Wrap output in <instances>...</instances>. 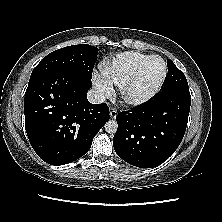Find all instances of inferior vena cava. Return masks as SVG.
I'll return each mask as SVG.
<instances>
[{
  "mask_svg": "<svg viewBox=\"0 0 222 222\" xmlns=\"http://www.w3.org/2000/svg\"><path fill=\"white\" fill-rule=\"evenodd\" d=\"M87 99L92 104H101L105 101V96L97 90H89L87 93Z\"/></svg>",
  "mask_w": 222,
  "mask_h": 222,
  "instance_id": "602c4592",
  "label": "inferior vena cava"
}]
</instances>
